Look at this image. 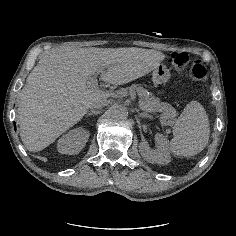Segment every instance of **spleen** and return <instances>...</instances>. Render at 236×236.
<instances>
[{
    "mask_svg": "<svg viewBox=\"0 0 236 236\" xmlns=\"http://www.w3.org/2000/svg\"><path fill=\"white\" fill-rule=\"evenodd\" d=\"M171 150L182 156H194L208 144L210 127L204 107L197 101L186 105L173 128Z\"/></svg>",
    "mask_w": 236,
    "mask_h": 236,
    "instance_id": "spleen-1",
    "label": "spleen"
}]
</instances>
